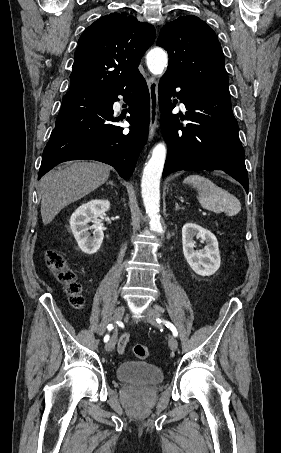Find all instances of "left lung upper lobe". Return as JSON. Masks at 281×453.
<instances>
[{
	"instance_id": "left-lung-upper-lobe-1",
	"label": "left lung upper lobe",
	"mask_w": 281,
	"mask_h": 453,
	"mask_svg": "<svg viewBox=\"0 0 281 453\" xmlns=\"http://www.w3.org/2000/svg\"><path fill=\"white\" fill-rule=\"evenodd\" d=\"M157 46L167 50L165 74L190 89H228L224 55L215 32L200 18L181 16L160 31Z\"/></svg>"
}]
</instances>
